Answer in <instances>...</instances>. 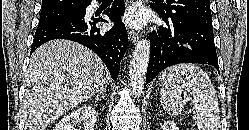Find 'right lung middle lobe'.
Masks as SVG:
<instances>
[{
    "label": "right lung middle lobe",
    "mask_w": 249,
    "mask_h": 130,
    "mask_svg": "<svg viewBox=\"0 0 249 130\" xmlns=\"http://www.w3.org/2000/svg\"><path fill=\"white\" fill-rule=\"evenodd\" d=\"M87 5L86 3H81L71 9L41 11L39 24L84 16Z\"/></svg>",
    "instance_id": "dd1d6c3e"
}]
</instances>
